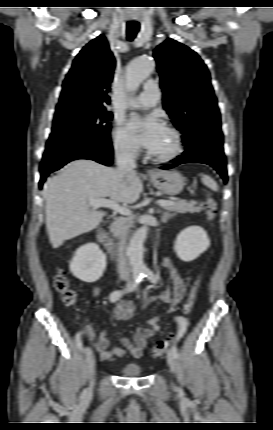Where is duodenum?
<instances>
[{"label": "duodenum", "instance_id": "1", "mask_svg": "<svg viewBox=\"0 0 273 430\" xmlns=\"http://www.w3.org/2000/svg\"><path fill=\"white\" fill-rule=\"evenodd\" d=\"M98 239L104 245V247L107 249V251L112 257L117 256V250L114 244L112 243L111 239L109 238L107 232L103 228L99 229Z\"/></svg>", "mask_w": 273, "mask_h": 430}]
</instances>
